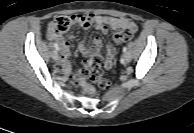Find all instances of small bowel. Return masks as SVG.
Returning a JSON list of instances; mask_svg holds the SVG:
<instances>
[{"label": "small bowel", "mask_w": 194, "mask_h": 133, "mask_svg": "<svg viewBox=\"0 0 194 133\" xmlns=\"http://www.w3.org/2000/svg\"><path fill=\"white\" fill-rule=\"evenodd\" d=\"M72 23L79 24L82 28L88 29L94 25L99 31L106 34L109 29L122 31L125 29L135 32L137 29L136 24L127 18L111 17L106 15L97 14H75L71 16ZM50 39H55L60 47L62 48V57L60 60V66L65 74H69L71 71L70 63L68 60V50H69V37H58L52 33L49 29L48 32ZM101 48V40L96 37L92 41L93 52H98ZM78 49L83 55L90 54L91 50L88 48L86 41L80 42ZM116 55V48L114 45L109 44L106 47V59L104 62L105 68L109 69L113 65V59Z\"/></svg>", "instance_id": "1"}]
</instances>
